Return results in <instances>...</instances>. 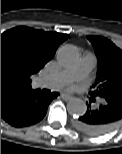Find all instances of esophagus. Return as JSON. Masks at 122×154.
<instances>
[{
  "mask_svg": "<svg viewBox=\"0 0 122 154\" xmlns=\"http://www.w3.org/2000/svg\"><path fill=\"white\" fill-rule=\"evenodd\" d=\"M61 97H62L64 100H66V101H68V100H70V99L72 98V96H71L70 94L65 93V92L61 93Z\"/></svg>",
  "mask_w": 122,
  "mask_h": 154,
  "instance_id": "obj_1",
  "label": "esophagus"
}]
</instances>
